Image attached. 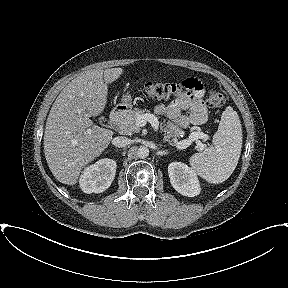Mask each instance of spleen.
I'll return each mask as SVG.
<instances>
[{
  "mask_svg": "<svg viewBox=\"0 0 288 288\" xmlns=\"http://www.w3.org/2000/svg\"><path fill=\"white\" fill-rule=\"evenodd\" d=\"M241 148V122L237 112L229 106L222 113L212 146L190 157L191 169L210 183H222L235 170Z\"/></svg>",
  "mask_w": 288,
  "mask_h": 288,
  "instance_id": "1",
  "label": "spleen"
}]
</instances>
